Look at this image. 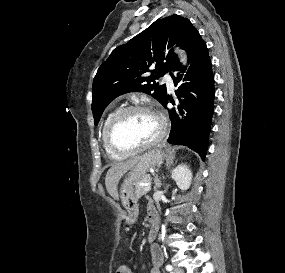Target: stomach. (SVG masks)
Wrapping results in <instances>:
<instances>
[{
    "label": "stomach",
    "mask_w": 285,
    "mask_h": 273,
    "mask_svg": "<svg viewBox=\"0 0 285 273\" xmlns=\"http://www.w3.org/2000/svg\"><path fill=\"white\" fill-rule=\"evenodd\" d=\"M164 156L161 149H153L141 156L140 160L130 169L120 186L119 197L123 207L127 210V221H132L137 213V199L134 185L147 175L150 168L158 164Z\"/></svg>",
    "instance_id": "1"
}]
</instances>
